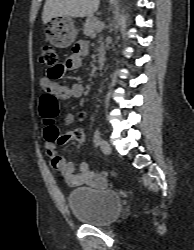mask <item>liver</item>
I'll return each mask as SVG.
<instances>
[{
  "instance_id": "6515ba94",
  "label": "liver",
  "mask_w": 194,
  "mask_h": 250,
  "mask_svg": "<svg viewBox=\"0 0 194 250\" xmlns=\"http://www.w3.org/2000/svg\"><path fill=\"white\" fill-rule=\"evenodd\" d=\"M100 0H46L42 21L48 23L54 17H91L98 9Z\"/></svg>"
}]
</instances>
